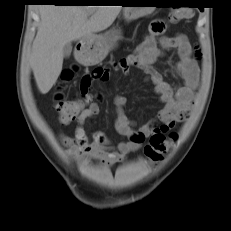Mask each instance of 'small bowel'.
I'll list each match as a JSON object with an SVG mask.
<instances>
[{"label":"small bowel","mask_w":231,"mask_h":231,"mask_svg":"<svg viewBox=\"0 0 231 231\" xmlns=\"http://www.w3.org/2000/svg\"><path fill=\"white\" fill-rule=\"evenodd\" d=\"M166 30V24L162 20L151 23L148 35L139 43L134 52L114 63L113 69L125 74L131 68L145 71L155 87V92L162 103V108L157 114L158 125L143 124L135 128V123L125 113L127 98L116 95L114 106L116 111L115 127L123 140L112 142L100 131L92 135L90 141L83 125L85 122L99 114V105L91 102L75 119L77 124L75 136L69 137L61 134L60 143L65 147L64 155L72 162L80 165H88L90 162H99L106 168L117 163L124 162L127 155L137 151L143 142L154 133H166L173 129L179 122L185 120L194 104V93L198 85L199 69L194 57L193 48L184 35L161 38L158 45V37ZM174 48L178 52L177 75L183 79L184 84L173 87L164 81L152 65L163 55V49ZM110 71L105 67H98L85 74L81 80L82 96L88 99L92 83L96 80L108 81Z\"/></svg>","instance_id":"c3829d8e"}]
</instances>
